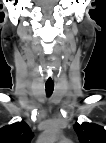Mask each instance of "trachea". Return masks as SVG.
Returning <instances> with one entry per match:
<instances>
[{
  "instance_id": "trachea-1",
  "label": "trachea",
  "mask_w": 106,
  "mask_h": 143,
  "mask_svg": "<svg viewBox=\"0 0 106 143\" xmlns=\"http://www.w3.org/2000/svg\"><path fill=\"white\" fill-rule=\"evenodd\" d=\"M45 88H46L47 95L50 96L54 90V83L53 84L46 83Z\"/></svg>"
}]
</instances>
